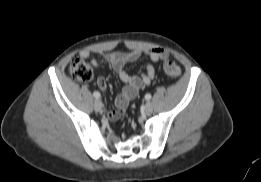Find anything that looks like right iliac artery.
<instances>
[{"instance_id":"1","label":"right iliac artery","mask_w":261,"mask_h":182,"mask_svg":"<svg viewBox=\"0 0 261 182\" xmlns=\"http://www.w3.org/2000/svg\"><path fill=\"white\" fill-rule=\"evenodd\" d=\"M93 96H94L96 99H98V98L101 97L100 93L97 92V91L93 92Z\"/></svg>"}]
</instances>
